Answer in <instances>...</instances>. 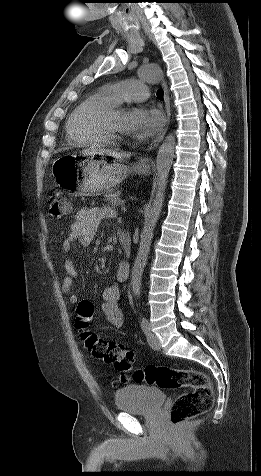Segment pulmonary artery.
Listing matches in <instances>:
<instances>
[{"instance_id":"e3ab8cb5","label":"pulmonary artery","mask_w":261,"mask_h":476,"mask_svg":"<svg viewBox=\"0 0 261 476\" xmlns=\"http://www.w3.org/2000/svg\"><path fill=\"white\" fill-rule=\"evenodd\" d=\"M104 90L117 102L143 101L149 97L148 87L133 79L109 85Z\"/></svg>"}]
</instances>
